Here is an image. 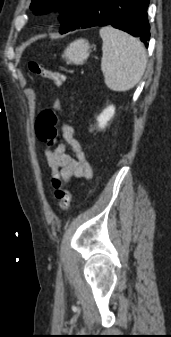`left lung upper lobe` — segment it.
Masks as SVG:
<instances>
[{
  "instance_id": "obj_1",
  "label": "left lung upper lobe",
  "mask_w": 171,
  "mask_h": 337,
  "mask_svg": "<svg viewBox=\"0 0 171 337\" xmlns=\"http://www.w3.org/2000/svg\"><path fill=\"white\" fill-rule=\"evenodd\" d=\"M86 0H32L31 10L35 14L49 13L53 10H59L61 15L60 33L68 32L73 25L84 6Z\"/></svg>"
}]
</instances>
